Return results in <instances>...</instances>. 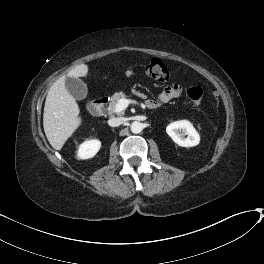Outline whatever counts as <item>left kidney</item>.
Returning a JSON list of instances; mask_svg holds the SVG:
<instances>
[{
    "label": "left kidney",
    "mask_w": 264,
    "mask_h": 264,
    "mask_svg": "<svg viewBox=\"0 0 264 264\" xmlns=\"http://www.w3.org/2000/svg\"><path fill=\"white\" fill-rule=\"evenodd\" d=\"M166 132L176 144L182 147H193L200 142L198 132L187 120H179L170 123L166 127Z\"/></svg>",
    "instance_id": "left-kidney-1"
}]
</instances>
